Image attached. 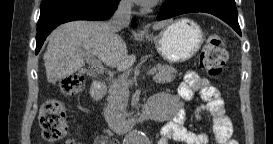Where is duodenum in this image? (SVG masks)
<instances>
[{
  "mask_svg": "<svg viewBox=\"0 0 273 144\" xmlns=\"http://www.w3.org/2000/svg\"><path fill=\"white\" fill-rule=\"evenodd\" d=\"M105 93V86L100 81L92 85V95L96 98L102 97ZM169 100L166 94H157L151 97L148 102L141 106L136 114L119 125V131L124 134L144 120L163 121L166 119V110L169 107Z\"/></svg>",
  "mask_w": 273,
  "mask_h": 144,
  "instance_id": "duodenum-1",
  "label": "duodenum"
}]
</instances>
